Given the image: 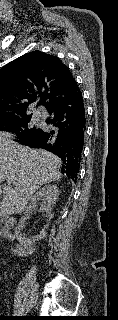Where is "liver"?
Here are the masks:
<instances>
[{"mask_svg": "<svg viewBox=\"0 0 118 320\" xmlns=\"http://www.w3.org/2000/svg\"><path fill=\"white\" fill-rule=\"evenodd\" d=\"M60 166V158L53 153L20 145L11 134L0 132V183H8L0 185V215L24 211L42 185L61 178Z\"/></svg>", "mask_w": 118, "mask_h": 320, "instance_id": "6515ba94", "label": "liver"}]
</instances>
